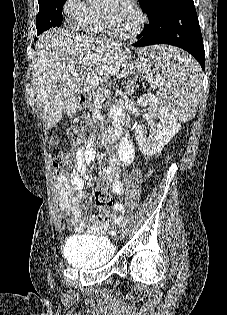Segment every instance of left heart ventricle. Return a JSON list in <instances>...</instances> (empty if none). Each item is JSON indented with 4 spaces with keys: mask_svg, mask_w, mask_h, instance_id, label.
<instances>
[{
    "mask_svg": "<svg viewBox=\"0 0 227 315\" xmlns=\"http://www.w3.org/2000/svg\"><path fill=\"white\" fill-rule=\"evenodd\" d=\"M101 12L107 15L112 27L119 33L129 34L137 26V15L128 2L107 0Z\"/></svg>",
    "mask_w": 227,
    "mask_h": 315,
    "instance_id": "left-heart-ventricle-1",
    "label": "left heart ventricle"
}]
</instances>
